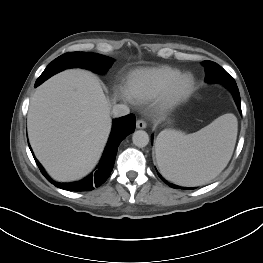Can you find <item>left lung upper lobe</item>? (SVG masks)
<instances>
[{"label":"left lung upper lobe","instance_id":"left-lung-upper-lobe-1","mask_svg":"<svg viewBox=\"0 0 263 263\" xmlns=\"http://www.w3.org/2000/svg\"><path fill=\"white\" fill-rule=\"evenodd\" d=\"M235 82V80L223 69L221 68L219 71L215 72L214 77L212 78L213 83H226Z\"/></svg>","mask_w":263,"mask_h":263}]
</instances>
